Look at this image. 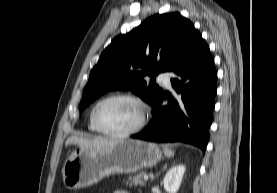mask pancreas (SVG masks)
Here are the masks:
<instances>
[{"instance_id": "cf45deb5", "label": "pancreas", "mask_w": 277, "mask_h": 193, "mask_svg": "<svg viewBox=\"0 0 277 193\" xmlns=\"http://www.w3.org/2000/svg\"><path fill=\"white\" fill-rule=\"evenodd\" d=\"M144 175H145V173L140 172V173L136 174L135 176H129L126 182L129 183L130 186H132V185L144 186L145 181H143V179H142Z\"/></svg>"}]
</instances>
